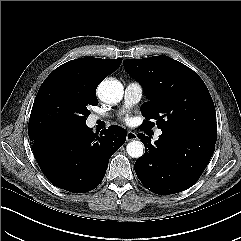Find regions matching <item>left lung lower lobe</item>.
Segmentation results:
<instances>
[{
    "instance_id": "left-lung-lower-lobe-1",
    "label": "left lung lower lobe",
    "mask_w": 241,
    "mask_h": 241,
    "mask_svg": "<svg viewBox=\"0 0 241 241\" xmlns=\"http://www.w3.org/2000/svg\"><path fill=\"white\" fill-rule=\"evenodd\" d=\"M138 137L146 152L136 161L135 172L148 190L159 195L178 193L192 186L207 167L217 138L180 129H163L153 145L143 133Z\"/></svg>"
}]
</instances>
